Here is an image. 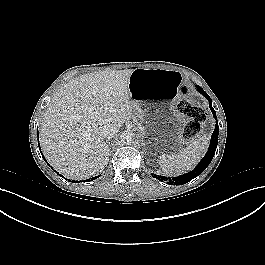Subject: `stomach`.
I'll use <instances>...</instances> for the list:
<instances>
[{
	"instance_id": "0dacf381",
	"label": "stomach",
	"mask_w": 265,
	"mask_h": 265,
	"mask_svg": "<svg viewBox=\"0 0 265 265\" xmlns=\"http://www.w3.org/2000/svg\"><path fill=\"white\" fill-rule=\"evenodd\" d=\"M180 82V73L173 70L139 68L130 76V99L141 132L139 147L151 164L166 163L178 148L181 127L172 102L179 94Z\"/></svg>"
}]
</instances>
